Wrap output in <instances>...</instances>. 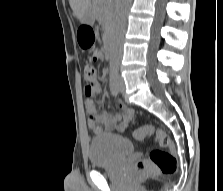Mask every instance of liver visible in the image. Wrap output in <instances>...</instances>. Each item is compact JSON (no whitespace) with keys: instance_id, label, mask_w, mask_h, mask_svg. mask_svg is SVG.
<instances>
[{"instance_id":"liver-1","label":"liver","mask_w":223,"mask_h":191,"mask_svg":"<svg viewBox=\"0 0 223 191\" xmlns=\"http://www.w3.org/2000/svg\"><path fill=\"white\" fill-rule=\"evenodd\" d=\"M90 1L91 0H69L70 7L78 19H81L82 14L89 8Z\"/></svg>"}]
</instances>
